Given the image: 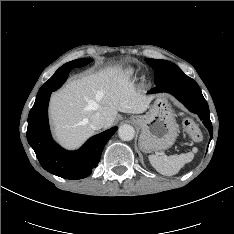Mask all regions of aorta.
I'll return each mask as SVG.
<instances>
[{
  "instance_id": "aorta-1",
  "label": "aorta",
  "mask_w": 234,
  "mask_h": 234,
  "mask_svg": "<svg viewBox=\"0 0 234 234\" xmlns=\"http://www.w3.org/2000/svg\"><path fill=\"white\" fill-rule=\"evenodd\" d=\"M119 138L123 141H130L135 136V130L133 126L129 124H123L118 129Z\"/></svg>"
}]
</instances>
